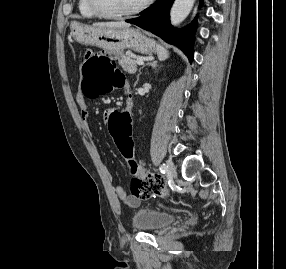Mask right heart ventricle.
I'll return each mask as SVG.
<instances>
[{
  "label": "right heart ventricle",
  "mask_w": 286,
  "mask_h": 269,
  "mask_svg": "<svg viewBox=\"0 0 286 269\" xmlns=\"http://www.w3.org/2000/svg\"><path fill=\"white\" fill-rule=\"evenodd\" d=\"M78 9L80 14L85 18L96 17L95 13L91 10L88 0H79Z\"/></svg>",
  "instance_id": "right-heart-ventricle-1"
}]
</instances>
